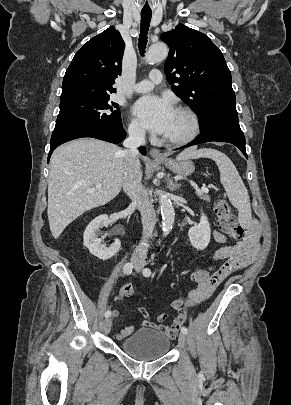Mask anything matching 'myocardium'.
Returning <instances> with one entry per match:
<instances>
[{"label": "myocardium", "instance_id": "obj_1", "mask_svg": "<svg viewBox=\"0 0 291 405\" xmlns=\"http://www.w3.org/2000/svg\"><path fill=\"white\" fill-rule=\"evenodd\" d=\"M175 110L182 112L187 116L190 122V130L183 137L167 138L164 136L162 141L169 146L180 147L192 142L199 135L200 121L197 114L190 107L179 105Z\"/></svg>", "mask_w": 291, "mask_h": 405}]
</instances>
